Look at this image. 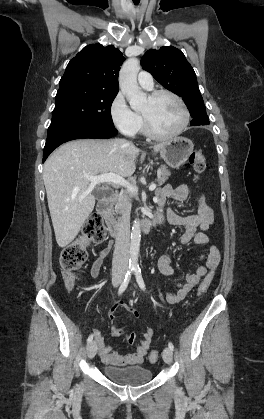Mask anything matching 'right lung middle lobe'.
I'll return each instance as SVG.
<instances>
[{
	"mask_svg": "<svg viewBox=\"0 0 264 419\" xmlns=\"http://www.w3.org/2000/svg\"><path fill=\"white\" fill-rule=\"evenodd\" d=\"M116 95L77 84L60 87L47 139L76 126L114 127L110 108Z\"/></svg>",
	"mask_w": 264,
	"mask_h": 419,
	"instance_id": "1",
	"label": "right lung middle lobe"
}]
</instances>
